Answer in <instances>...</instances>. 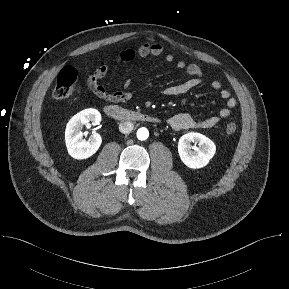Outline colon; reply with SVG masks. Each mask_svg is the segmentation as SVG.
<instances>
[{
    "mask_svg": "<svg viewBox=\"0 0 289 289\" xmlns=\"http://www.w3.org/2000/svg\"><path fill=\"white\" fill-rule=\"evenodd\" d=\"M77 72L72 67H65L59 73L54 89L53 96L56 99H65L72 96L76 91ZM237 130V125L234 121H230L226 125V132L234 134Z\"/></svg>",
    "mask_w": 289,
    "mask_h": 289,
    "instance_id": "colon-1",
    "label": "colon"
}]
</instances>
